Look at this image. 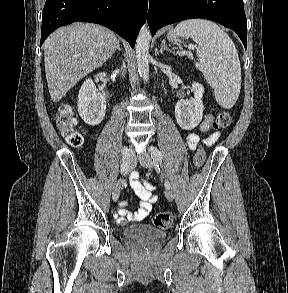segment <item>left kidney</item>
Returning <instances> with one entry per match:
<instances>
[{
    "instance_id": "obj_1",
    "label": "left kidney",
    "mask_w": 288,
    "mask_h": 293,
    "mask_svg": "<svg viewBox=\"0 0 288 293\" xmlns=\"http://www.w3.org/2000/svg\"><path fill=\"white\" fill-rule=\"evenodd\" d=\"M194 98L189 100L181 99L175 106V117L178 125L184 130H192L199 125L203 117L204 105L202 97L204 87L198 83H192Z\"/></svg>"
}]
</instances>
